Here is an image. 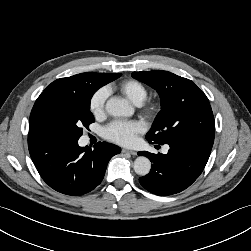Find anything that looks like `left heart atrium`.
Returning a JSON list of instances; mask_svg holds the SVG:
<instances>
[{
	"label": "left heart atrium",
	"mask_w": 251,
	"mask_h": 251,
	"mask_svg": "<svg viewBox=\"0 0 251 251\" xmlns=\"http://www.w3.org/2000/svg\"><path fill=\"white\" fill-rule=\"evenodd\" d=\"M144 128V124L140 121L116 120L104 128L103 135L106 139L118 144L131 145Z\"/></svg>",
	"instance_id": "obj_1"
}]
</instances>
